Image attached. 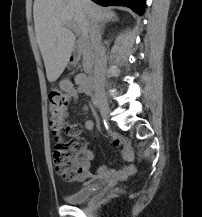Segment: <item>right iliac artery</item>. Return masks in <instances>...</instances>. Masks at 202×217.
<instances>
[{
    "instance_id": "obj_1",
    "label": "right iliac artery",
    "mask_w": 202,
    "mask_h": 217,
    "mask_svg": "<svg viewBox=\"0 0 202 217\" xmlns=\"http://www.w3.org/2000/svg\"><path fill=\"white\" fill-rule=\"evenodd\" d=\"M92 102H93L95 108L98 109V108H99V105H98V102H97V99H96L95 96L92 97Z\"/></svg>"
}]
</instances>
